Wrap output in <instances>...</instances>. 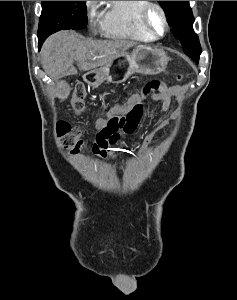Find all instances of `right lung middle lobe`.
I'll return each instance as SVG.
<instances>
[{"instance_id": "dd1d6c3e", "label": "right lung middle lobe", "mask_w": 237, "mask_h": 300, "mask_svg": "<svg viewBox=\"0 0 237 300\" xmlns=\"http://www.w3.org/2000/svg\"><path fill=\"white\" fill-rule=\"evenodd\" d=\"M85 1H42L39 20V47L52 33L67 29H84L87 25Z\"/></svg>"}]
</instances>
